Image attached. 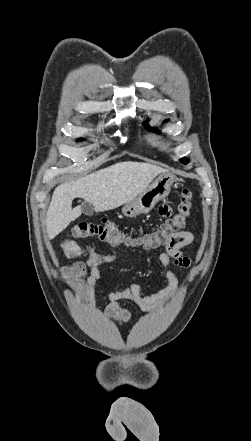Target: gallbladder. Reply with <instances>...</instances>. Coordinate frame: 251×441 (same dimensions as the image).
Masks as SVG:
<instances>
[{
	"instance_id": "bac80fb5",
	"label": "gallbladder",
	"mask_w": 251,
	"mask_h": 441,
	"mask_svg": "<svg viewBox=\"0 0 251 441\" xmlns=\"http://www.w3.org/2000/svg\"><path fill=\"white\" fill-rule=\"evenodd\" d=\"M81 212L85 215H92L93 214V208L90 203L84 202L80 206Z\"/></svg>"
}]
</instances>
